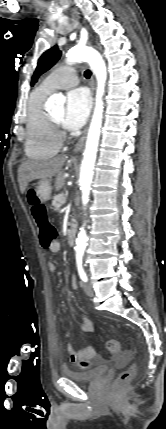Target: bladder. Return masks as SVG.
Listing matches in <instances>:
<instances>
[{"mask_svg":"<svg viewBox=\"0 0 166 429\" xmlns=\"http://www.w3.org/2000/svg\"><path fill=\"white\" fill-rule=\"evenodd\" d=\"M108 371V366H98L78 371L75 369L65 368L62 370L64 376L78 383H90L102 378Z\"/></svg>","mask_w":166,"mask_h":429,"instance_id":"obj_1","label":"bladder"}]
</instances>
